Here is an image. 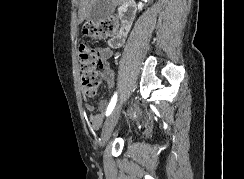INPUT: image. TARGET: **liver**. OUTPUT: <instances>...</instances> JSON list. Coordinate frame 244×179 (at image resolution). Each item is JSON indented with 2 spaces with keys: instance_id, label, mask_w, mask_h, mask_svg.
<instances>
[{
  "instance_id": "6515ba94",
  "label": "liver",
  "mask_w": 244,
  "mask_h": 179,
  "mask_svg": "<svg viewBox=\"0 0 244 179\" xmlns=\"http://www.w3.org/2000/svg\"><path fill=\"white\" fill-rule=\"evenodd\" d=\"M95 0H80L79 12H78V22L82 24L86 20L87 16L90 14V10L94 4ZM114 6H120L123 0H112Z\"/></svg>"
}]
</instances>
